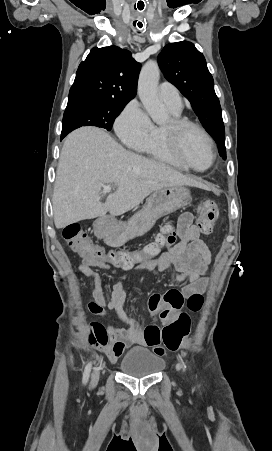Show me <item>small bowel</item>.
<instances>
[{"label":"small bowel","instance_id":"obj_1","mask_svg":"<svg viewBox=\"0 0 272 451\" xmlns=\"http://www.w3.org/2000/svg\"><path fill=\"white\" fill-rule=\"evenodd\" d=\"M164 234L166 236H159L157 241L166 245V251L158 258L141 262L138 272L158 269L170 273L174 283L190 282L181 291L172 289L165 294L154 293L150 296L149 310L154 314L159 313L160 318L167 322L178 314L186 298L190 301L191 295H199L206 290L212 256L208 246L200 238V229L193 223V215L190 212H184L176 225L166 227ZM91 263L90 270H83L81 265H78L81 268L80 273L92 281L94 300L88 303L87 310L98 316H105L108 309L114 310L118 318L127 326L126 328L108 326L111 343L104 348V352L109 361L115 363L128 346L147 344L144 338L146 328L143 329L123 310L129 288L135 277L123 279L118 271L103 259L92 257ZM95 267L108 271L116 280L109 299L104 290L102 275Z\"/></svg>","mask_w":272,"mask_h":451}]
</instances>
